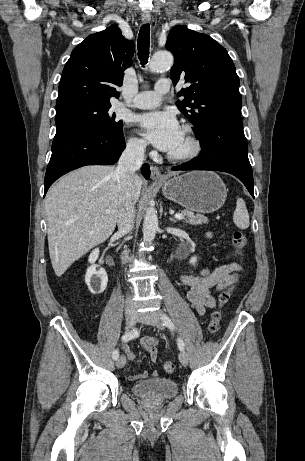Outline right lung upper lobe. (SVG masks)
<instances>
[{
	"mask_svg": "<svg viewBox=\"0 0 305 461\" xmlns=\"http://www.w3.org/2000/svg\"><path fill=\"white\" fill-rule=\"evenodd\" d=\"M134 42L117 26L88 36L73 51L59 83L56 108L79 102L110 103L132 64Z\"/></svg>",
	"mask_w": 305,
	"mask_h": 461,
	"instance_id": "obj_1",
	"label": "right lung upper lobe"
}]
</instances>
